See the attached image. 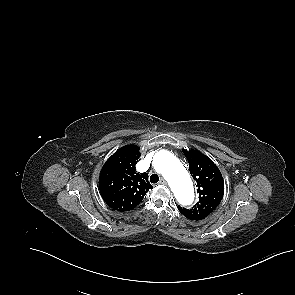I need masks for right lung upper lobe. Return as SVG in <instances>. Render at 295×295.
<instances>
[{
	"label": "right lung upper lobe",
	"instance_id": "cb5924a9",
	"mask_svg": "<svg viewBox=\"0 0 295 295\" xmlns=\"http://www.w3.org/2000/svg\"><path fill=\"white\" fill-rule=\"evenodd\" d=\"M140 157L139 147L127 145L116 151L104 164L99 188L104 201L117 211L136 207L153 187L147 173H137L135 165Z\"/></svg>",
	"mask_w": 295,
	"mask_h": 295
}]
</instances>
